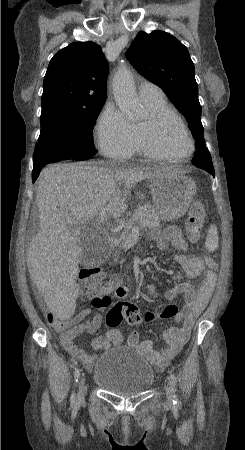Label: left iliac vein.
Masks as SVG:
<instances>
[{
	"instance_id": "left-iliac-vein-1",
	"label": "left iliac vein",
	"mask_w": 245,
	"mask_h": 450,
	"mask_svg": "<svg viewBox=\"0 0 245 450\" xmlns=\"http://www.w3.org/2000/svg\"><path fill=\"white\" fill-rule=\"evenodd\" d=\"M165 389H166L167 401H168V403H172L174 394H173V386L170 381H168Z\"/></svg>"
}]
</instances>
